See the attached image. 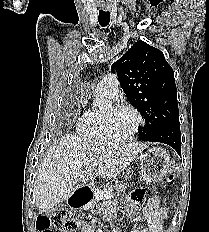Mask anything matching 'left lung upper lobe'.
Returning a JSON list of instances; mask_svg holds the SVG:
<instances>
[{"label": "left lung upper lobe", "instance_id": "left-lung-upper-lobe-1", "mask_svg": "<svg viewBox=\"0 0 209 232\" xmlns=\"http://www.w3.org/2000/svg\"><path fill=\"white\" fill-rule=\"evenodd\" d=\"M111 69L145 119V127L138 131L141 140L148 141L164 125L179 121L174 72L159 49L137 41Z\"/></svg>", "mask_w": 209, "mask_h": 232}]
</instances>
